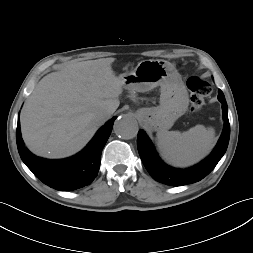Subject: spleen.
<instances>
[{"label":"spleen","mask_w":253,"mask_h":253,"mask_svg":"<svg viewBox=\"0 0 253 253\" xmlns=\"http://www.w3.org/2000/svg\"><path fill=\"white\" fill-rule=\"evenodd\" d=\"M157 143L163 157L172 165H193L210 153L215 145L212 127L196 125L186 132L159 131Z\"/></svg>","instance_id":"1"}]
</instances>
